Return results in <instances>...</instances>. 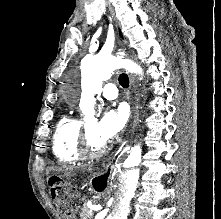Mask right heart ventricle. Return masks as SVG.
<instances>
[{
    "mask_svg": "<svg viewBox=\"0 0 221 219\" xmlns=\"http://www.w3.org/2000/svg\"><path fill=\"white\" fill-rule=\"evenodd\" d=\"M83 122L70 115L63 116L58 122L52 139V149L57 160L63 164L80 161V136Z\"/></svg>",
    "mask_w": 221,
    "mask_h": 219,
    "instance_id": "e07e8e85",
    "label": "right heart ventricle"
}]
</instances>
